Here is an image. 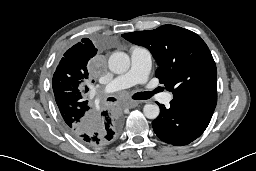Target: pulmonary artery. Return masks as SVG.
I'll return each instance as SVG.
<instances>
[{
    "label": "pulmonary artery",
    "instance_id": "pulmonary-artery-1",
    "mask_svg": "<svg viewBox=\"0 0 256 171\" xmlns=\"http://www.w3.org/2000/svg\"><path fill=\"white\" fill-rule=\"evenodd\" d=\"M130 57V69L126 73L114 78L106 86V93L115 92L136 84H142L147 80L152 65L151 52L145 47L136 46L130 50ZM162 101L165 104H169L171 101V94H163Z\"/></svg>",
    "mask_w": 256,
    "mask_h": 171
}]
</instances>
